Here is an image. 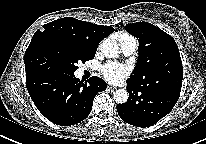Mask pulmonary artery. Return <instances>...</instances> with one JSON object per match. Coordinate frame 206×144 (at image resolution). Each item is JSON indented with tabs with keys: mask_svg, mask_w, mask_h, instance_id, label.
Returning a JSON list of instances; mask_svg holds the SVG:
<instances>
[{
	"mask_svg": "<svg viewBox=\"0 0 206 144\" xmlns=\"http://www.w3.org/2000/svg\"><path fill=\"white\" fill-rule=\"evenodd\" d=\"M121 50L124 55H132L137 49V41L135 38L129 36L120 40Z\"/></svg>",
	"mask_w": 206,
	"mask_h": 144,
	"instance_id": "obj_1",
	"label": "pulmonary artery"
}]
</instances>
